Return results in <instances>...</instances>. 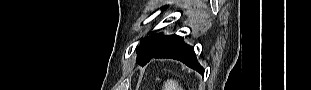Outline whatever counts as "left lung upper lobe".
Segmentation results:
<instances>
[{
	"label": "left lung upper lobe",
	"mask_w": 311,
	"mask_h": 90,
	"mask_svg": "<svg viewBox=\"0 0 311 90\" xmlns=\"http://www.w3.org/2000/svg\"><path fill=\"white\" fill-rule=\"evenodd\" d=\"M165 38L161 34H154L145 37L141 40L140 45L137 47V62L140 64L148 58L154 48Z\"/></svg>",
	"instance_id": "5c2ea615"
}]
</instances>
